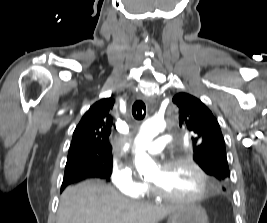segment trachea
<instances>
[{
	"label": "trachea",
	"instance_id": "obj_1",
	"mask_svg": "<svg viewBox=\"0 0 267 223\" xmlns=\"http://www.w3.org/2000/svg\"><path fill=\"white\" fill-rule=\"evenodd\" d=\"M146 114L145 103L141 100H137L132 106V115L136 120L144 119Z\"/></svg>",
	"mask_w": 267,
	"mask_h": 223
}]
</instances>
